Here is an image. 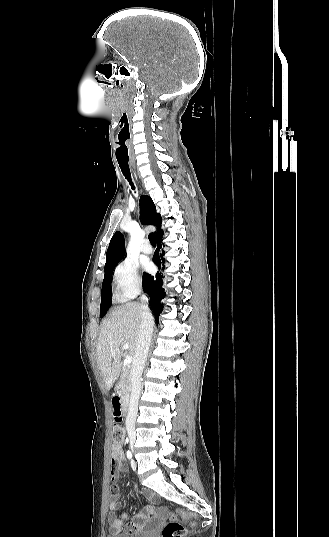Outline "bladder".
I'll return each instance as SVG.
<instances>
[{"mask_svg":"<svg viewBox=\"0 0 329 537\" xmlns=\"http://www.w3.org/2000/svg\"><path fill=\"white\" fill-rule=\"evenodd\" d=\"M107 537H154L152 533L150 532H144V533H125V532H118L114 530H109Z\"/></svg>","mask_w":329,"mask_h":537,"instance_id":"bladder-1","label":"bladder"}]
</instances>
